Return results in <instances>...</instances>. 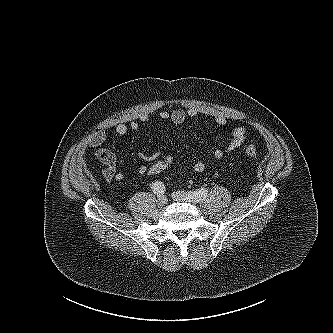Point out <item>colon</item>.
<instances>
[{
	"label": "colon",
	"instance_id": "1",
	"mask_svg": "<svg viewBox=\"0 0 333 333\" xmlns=\"http://www.w3.org/2000/svg\"><path fill=\"white\" fill-rule=\"evenodd\" d=\"M245 153L249 157L255 158L257 156V149L254 145L250 144L245 147ZM173 161L174 159L170 155L159 157L148 166L146 174L152 177L159 176L170 168Z\"/></svg>",
	"mask_w": 333,
	"mask_h": 333
}]
</instances>
